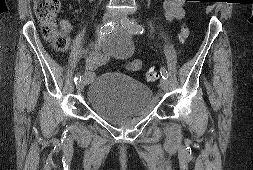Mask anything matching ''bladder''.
<instances>
[{"instance_id": "1", "label": "bladder", "mask_w": 253, "mask_h": 170, "mask_svg": "<svg viewBox=\"0 0 253 170\" xmlns=\"http://www.w3.org/2000/svg\"><path fill=\"white\" fill-rule=\"evenodd\" d=\"M152 97L150 86L120 72L100 74L87 89L89 107L112 124H124L144 114L150 107Z\"/></svg>"}]
</instances>
